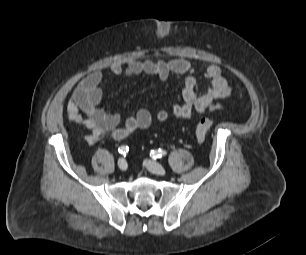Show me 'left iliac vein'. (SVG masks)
Segmentation results:
<instances>
[{"mask_svg": "<svg viewBox=\"0 0 306 255\" xmlns=\"http://www.w3.org/2000/svg\"><path fill=\"white\" fill-rule=\"evenodd\" d=\"M144 165L146 166V168H147L150 172H152V173H154V174H157V175H165V173H166L165 168H164L161 164H159V163H157V162H155V161H152V160H145V161H144Z\"/></svg>", "mask_w": 306, "mask_h": 255, "instance_id": "left-iliac-vein-1", "label": "left iliac vein"}]
</instances>
